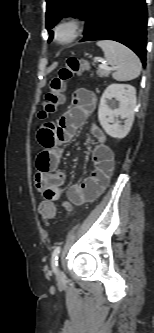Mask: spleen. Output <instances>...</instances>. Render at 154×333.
Listing matches in <instances>:
<instances>
[{
  "label": "spleen",
  "instance_id": "1",
  "mask_svg": "<svg viewBox=\"0 0 154 333\" xmlns=\"http://www.w3.org/2000/svg\"><path fill=\"white\" fill-rule=\"evenodd\" d=\"M97 45L103 50L107 63L115 66L112 74L115 80L130 81L140 75V59L128 47L110 40L98 41Z\"/></svg>",
  "mask_w": 154,
  "mask_h": 333
}]
</instances>
